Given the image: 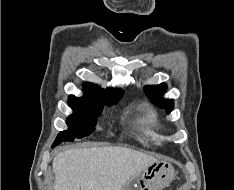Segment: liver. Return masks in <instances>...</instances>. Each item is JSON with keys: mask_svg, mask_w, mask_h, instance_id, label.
Returning <instances> with one entry per match:
<instances>
[{"mask_svg": "<svg viewBox=\"0 0 234 190\" xmlns=\"http://www.w3.org/2000/svg\"><path fill=\"white\" fill-rule=\"evenodd\" d=\"M156 158L121 146L71 149L53 159L54 190H121Z\"/></svg>", "mask_w": 234, "mask_h": 190, "instance_id": "obj_1", "label": "liver"}]
</instances>
